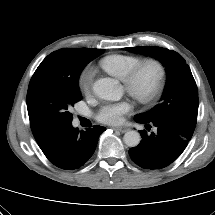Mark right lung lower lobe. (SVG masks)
Returning a JSON list of instances; mask_svg holds the SVG:
<instances>
[{"instance_id":"right-lung-lower-lobe-1","label":"right lung lower lobe","mask_w":215,"mask_h":215,"mask_svg":"<svg viewBox=\"0 0 215 215\" xmlns=\"http://www.w3.org/2000/svg\"><path fill=\"white\" fill-rule=\"evenodd\" d=\"M105 130V127L95 125L79 131L70 125L41 150L55 166L65 170L77 169L93 155L98 138Z\"/></svg>"}]
</instances>
